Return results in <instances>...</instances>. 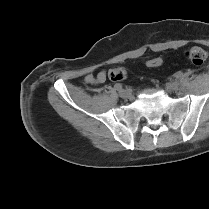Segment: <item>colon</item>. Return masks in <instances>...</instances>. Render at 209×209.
<instances>
[{
	"label": "colon",
	"instance_id": "1",
	"mask_svg": "<svg viewBox=\"0 0 209 209\" xmlns=\"http://www.w3.org/2000/svg\"><path fill=\"white\" fill-rule=\"evenodd\" d=\"M186 58L195 66H203L208 58V53L201 47L195 46L186 52ZM163 60L159 57L147 60L146 65L150 68L161 66ZM127 72L124 68H113L109 70L108 77L112 81H122L126 78Z\"/></svg>",
	"mask_w": 209,
	"mask_h": 209
}]
</instances>
